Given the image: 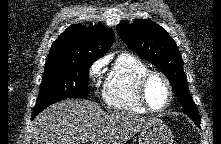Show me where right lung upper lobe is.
<instances>
[{
  "mask_svg": "<svg viewBox=\"0 0 221 144\" xmlns=\"http://www.w3.org/2000/svg\"><path fill=\"white\" fill-rule=\"evenodd\" d=\"M114 39L115 34L109 28L73 25L53 42L46 63L94 62L104 55Z\"/></svg>",
  "mask_w": 221,
  "mask_h": 144,
  "instance_id": "right-lung-upper-lobe-1",
  "label": "right lung upper lobe"
}]
</instances>
